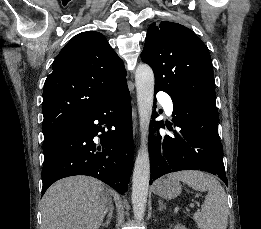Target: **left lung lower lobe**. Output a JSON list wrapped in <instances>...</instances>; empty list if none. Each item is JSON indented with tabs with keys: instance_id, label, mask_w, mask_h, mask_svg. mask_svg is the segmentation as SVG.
I'll return each instance as SVG.
<instances>
[{
	"instance_id": "left-lung-lower-lobe-1",
	"label": "left lung lower lobe",
	"mask_w": 261,
	"mask_h": 229,
	"mask_svg": "<svg viewBox=\"0 0 261 229\" xmlns=\"http://www.w3.org/2000/svg\"><path fill=\"white\" fill-rule=\"evenodd\" d=\"M163 91L155 86L154 92ZM174 109L172 121L178 132L174 136L150 135L149 151L152 154L150 184L164 174L181 170H202L217 175L228 185L224 176L223 148L218 135L216 106L197 98L171 96ZM156 110L153 118H156ZM151 133L164 127L155 122Z\"/></svg>"
}]
</instances>
